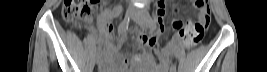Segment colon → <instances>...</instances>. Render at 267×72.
Here are the masks:
<instances>
[{
  "label": "colon",
  "instance_id": "5ec220e1",
  "mask_svg": "<svg viewBox=\"0 0 267 72\" xmlns=\"http://www.w3.org/2000/svg\"><path fill=\"white\" fill-rule=\"evenodd\" d=\"M99 0H65L62 10L63 18L74 26H81L88 21L90 16L96 11ZM192 4L197 10V22H191L184 25L176 21L173 24L174 29L184 39L187 47L196 46L201 42L204 33L209 26L210 10L207 0H193Z\"/></svg>",
  "mask_w": 267,
  "mask_h": 72
}]
</instances>
